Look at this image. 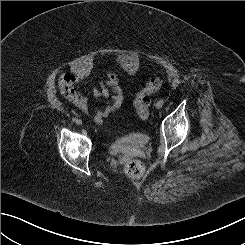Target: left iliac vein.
I'll list each match as a JSON object with an SVG mask.
<instances>
[{
    "label": "left iliac vein",
    "instance_id": "obj_1",
    "mask_svg": "<svg viewBox=\"0 0 245 245\" xmlns=\"http://www.w3.org/2000/svg\"><path fill=\"white\" fill-rule=\"evenodd\" d=\"M161 107H162V104H160V103L157 102V103H156V108H157V109H160Z\"/></svg>",
    "mask_w": 245,
    "mask_h": 245
}]
</instances>
